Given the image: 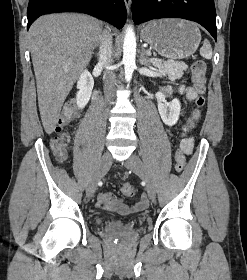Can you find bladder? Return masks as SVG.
I'll return each mask as SVG.
<instances>
[{
    "label": "bladder",
    "instance_id": "1",
    "mask_svg": "<svg viewBox=\"0 0 247 280\" xmlns=\"http://www.w3.org/2000/svg\"><path fill=\"white\" fill-rule=\"evenodd\" d=\"M104 221L103 220H99L98 221V224H102Z\"/></svg>",
    "mask_w": 247,
    "mask_h": 280
}]
</instances>
